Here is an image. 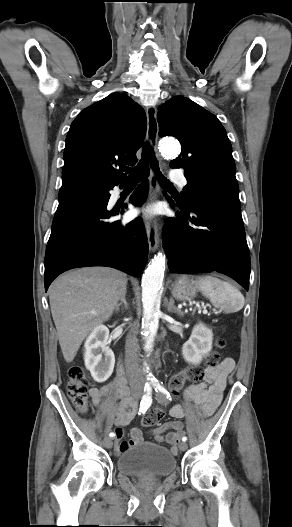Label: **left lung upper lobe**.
Wrapping results in <instances>:
<instances>
[{
  "instance_id": "obj_1",
  "label": "left lung upper lobe",
  "mask_w": 292,
  "mask_h": 527,
  "mask_svg": "<svg viewBox=\"0 0 292 527\" xmlns=\"http://www.w3.org/2000/svg\"><path fill=\"white\" fill-rule=\"evenodd\" d=\"M158 110L159 136H174L182 146L179 157L170 163L184 169L188 184L182 199L239 202L231 143L217 117L183 96L171 98Z\"/></svg>"
}]
</instances>
